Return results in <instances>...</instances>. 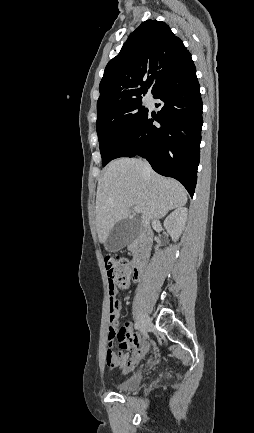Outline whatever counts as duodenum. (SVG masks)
Returning <instances> with one entry per match:
<instances>
[{"label":"duodenum","instance_id":"obj_1","mask_svg":"<svg viewBox=\"0 0 254 433\" xmlns=\"http://www.w3.org/2000/svg\"><path fill=\"white\" fill-rule=\"evenodd\" d=\"M152 240L153 233L148 231L130 246L131 250L135 253V258L132 264V272L135 280H139L145 271L150 255Z\"/></svg>","mask_w":254,"mask_h":433}]
</instances>
